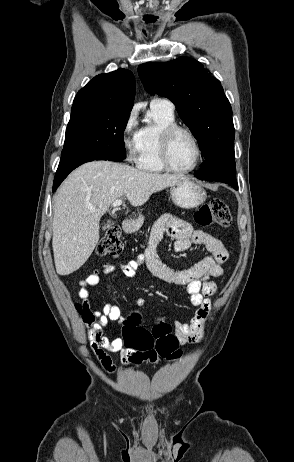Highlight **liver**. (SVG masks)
<instances>
[{"instance_id":"obj_1","label":"liver","mask_w":294,"mask_h":462,"mask_svg":"<svg viewBox=\"0 0 294 462\" xmlns=\"http://www.w3.org/2000/svg\"><path fill=\"white\" fill-rule=\"evenodd\" d=\"M184 178L183 174L149 173L109 161L78 167L55 196L52 247L57 273L69 275L88 260L99 240L100 218L115 200L126 195L132 206H141L153 193Z\"/></svg>"}]
</instances>
